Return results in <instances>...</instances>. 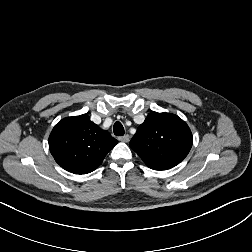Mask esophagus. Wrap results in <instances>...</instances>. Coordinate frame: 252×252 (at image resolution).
<instances>
[{"label":"esophagus","instance_id":"esophagus-1","mask_svg":"<svg viewBox=\"0 0 252 252\" xmlns=\"http://www.w3.org/2000/svg\"><path fill=\"white\" fill-rule=\"evenodd\" d=\"M120 141H122V142H129V140H130V136L128 135V134H126V135H124V136H121V137H119L118 138Z\"/></svg>","mask_w":252,"mask_h":252}]
</instances>
